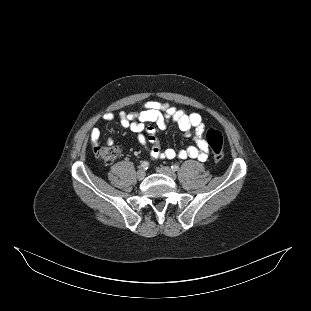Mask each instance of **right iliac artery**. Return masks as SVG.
Instances as JSON below:
<instances>
[{
    "instance_id": "obj_1",
    "label": "right iliac artery",
    "mask_w": 311,
    "mask_h": 311,
    "mask_svg": "<svg viewBox=\"0 0 311 311\" xmlns=\"http://www.w3.org/2000/svg\"><path fill=\"white\" fill-rule=\"evenodd\" d=\"M148 167H149V163L147 162V161H143L142 163H141V168L142 169H148Z\"/></svg>"
}]
</instances>
